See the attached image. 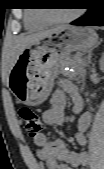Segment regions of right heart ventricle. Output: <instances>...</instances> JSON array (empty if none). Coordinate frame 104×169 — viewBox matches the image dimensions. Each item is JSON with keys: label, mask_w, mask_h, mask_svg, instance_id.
Segmentation results:
<instances>
[{"label": "right heart ventricle", "mask_w": 104, "mask_h": 169, "mask_svg": "<svg viewBox=\"0 0 104 169\" xmlns=\"http://www.w3.org/2000/svg\"><path fill=\"white\" fill-rule=\"evenodd\" d=\"M25 25L30 30H38L48 25L36 12H28L24 16Z\"/></svg>", "instance_id": "right-heart-ventricle-1"}]
</instances>
